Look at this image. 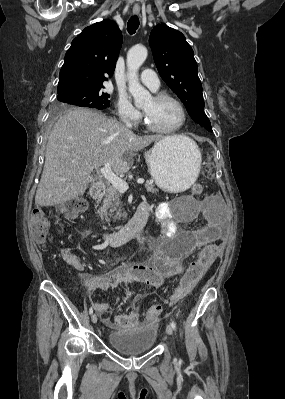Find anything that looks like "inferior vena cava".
<instances>
[{
    "label": "inferior vena cava",
    "instance_id": "obj_1",
    "mask_svg": "<svg viewBox=\"0 0 285 399\" xmlns=\"http://www.w3.org/2000/svg\"><path fill=\"white\" fill-rule=\"evenodd\" d=\"M123 122L125 123V125H126V127H127L128 129H130V128L132 127V124L130 123L129 120L123 118Z\"/></svg>",
    "mask_w": 285,
    "mask_h": 399
}]
</instances>
